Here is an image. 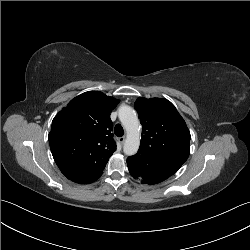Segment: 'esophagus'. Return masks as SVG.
Instances as JSON below:
<instances>
[{
    "mask_svg": "<svg viewBox=\"0 0 250 250\" xmlns=\"http://www.w3.org/2000/svg\"><path fill=\"white\" fill-rule=\"evenodd\" d=\"M125 140H126L125 136L118 138L119 143L122 145L124 144Z\"/></svg>",
    "mask_w": 250,
    "mask_h": 250,
    "instance_id": "34e87169",
    "label": "esophagus"
}]
</instances>
